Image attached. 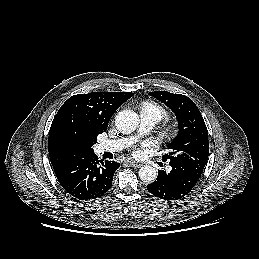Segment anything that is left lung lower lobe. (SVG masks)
Returning <instances> with one entry per match:
<instances>
[{
    "instance_id": "left-lung-lower-lobe-1",
    "label": "left lung lower lobe",
    "mask_w": 259,
    "mask_h": 259,
    "mask_svg": "<svg viewBox=\"0 0 259 259\" xmlns=\"http://www.w3.org/2000/svg\"><path fill=\"white\" fill-rule=\"evenodd\" d=\"M171 171L158 170L157 179L147 186L154 196L164 200L180 199L187 195L196 185L199 177L184 166L169 163Z\"/></svg>"
}]
</instances>
